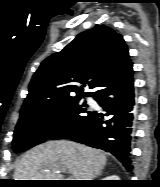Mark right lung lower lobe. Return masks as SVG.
<instances>
[{
    "instance_id": "1",
    "label": "right lung lower lobe",
    "mask_w": 160,
    "mask_h": 187,
    "mask_svg": "<svg viewBox=\"0 0 160 187\" xmlns=\"http://www.w3.org/2000/svg\"><path fill=\"white\" fill-rule=\"evenodd\" d=\"M132 63L93 96L105 111H91L87 119L65 138L113 154L131 171V133L134 119Z\"/></svg>"
}]
</instances>
